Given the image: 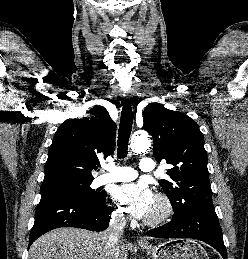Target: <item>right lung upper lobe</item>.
I'll list each match as a JSON object with an SVG mask.
<instances>
[{"instance_id":"cb5924a9","label":"right lung upper lobe","mask_w":248,"mask_h":259,"mask_svg":"<svg viewBox=\"0 0 248 259\" xmlns=\"http://www.w3.org/2000/svg\"><path fill=\"white\" fill-rule=\"evenodd\" d=\"M87 113L91 116L63 122L49 148L43 184L61 181L93 180L91 171L107 158L115 144L116 125L103 106Z\"/></svg>"}]
</instances>
